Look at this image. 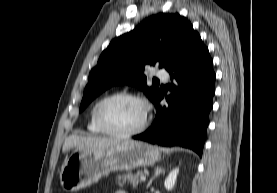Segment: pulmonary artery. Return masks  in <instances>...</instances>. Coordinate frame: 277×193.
<instances>
[{"instance_id": "e3ab8cb5", "label": "pulmonary artery", "mask_w": 277, "mask_h": 193, "mask_svg": "<svg viewBox=\"0 0 277 193\" xmlns=\"http://www.w3.org/2000/svg\"><path fill=\"white\" fill-rule=\"evenodd\" d=\"M156 76H157L159 79L164 80V81L168 80V78H169V74H168V72L165 71V70H159V71L156 73Z\"/></svg>"}]
</instances>
